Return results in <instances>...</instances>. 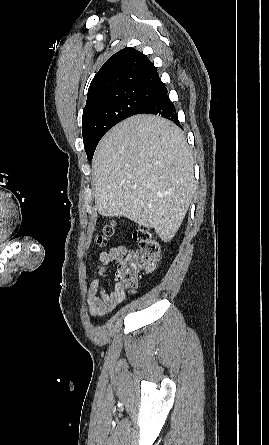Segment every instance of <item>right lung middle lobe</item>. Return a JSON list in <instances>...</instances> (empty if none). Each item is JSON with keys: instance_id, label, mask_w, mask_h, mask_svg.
<instances>
[{"instance_id": "obj_1", "label": "right lung middle lobe", "mask_w": 269, "mask_h": 445, "mask_svg": "<svg viewBox=\"0 0 269 445\" xmlns=\"http://www.w3.org/2000/svg\"><path fill=\"white\" fill-rule=\"evenodd\" d=\"M158 95L155 87H126L109 91L86 104L83 110L82 134L88 160L103 135L120 121L135 115Z\"/></svg>"}]
</instances>
